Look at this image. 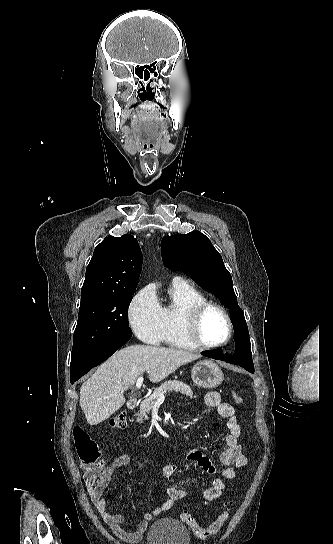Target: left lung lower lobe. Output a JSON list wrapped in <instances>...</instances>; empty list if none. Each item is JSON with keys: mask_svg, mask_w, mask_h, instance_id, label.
Listing matches in <instances>:
<instances>
[{"mask_svg": "<svg viewBox=\"0 0 333 544\" xmlns=\"http://www.w3.org/2000/svg\"><path fill=\"white\" fill-rule=\"evenodd\" d=\"M236 340H237V337H236ZM235 353H236V351H235ZM235 353L232 356H230V355L222 354V350H210V351L202 352V354L207 356V357L214 358V359H219V360H223V361H226V362H229V363H232V364L239 365V366L245 368L247 371L253 373L254 372L253 363L246 364V363L237 361Z\"/></svg>", "mask_w": 333, "mask_h": 544, "instance_id": "0a47b994", "label": "left lung lower lobe"}]
</instances>
